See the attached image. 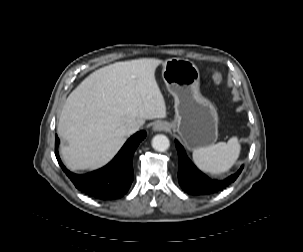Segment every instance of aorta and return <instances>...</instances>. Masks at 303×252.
I'll return each instance as SVG.
<instances>
[{
  "mask_svg": "<svg viewBox=\"0 0 303 252\" xmlns=\"http://www.w3.org/2000/svg\"><path fill=\"white\" fill-rule=\"evenodd\" d=\"M170 146V141L167 136L163 134L155 135L152 139V147L156 151L163 152Z\"/></svg>",
  "mask_w": 303,
  "mask_h": 252,
  "instance_id": "aorta-1",
  "label": "aorta"
}]
</instances>
